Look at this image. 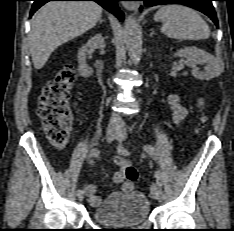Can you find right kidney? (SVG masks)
I'll list each match as a JSON object with an SVG mask.
<instances>
[{
  "instance_id": "obj_1",
  "label": "right kidney",
  "mask_w": 234,
  "mask_h": 231,
  "mask_svg": "<svg viewBox=\"0 0 234 231\" xmlns=\"http://www.w3.org/2000/svg\"><path fill=\"white\" fill-rule=\"evenodd\" d=\"M88 48H105V41L102 35L98 34L92 37L78 52L79 73L83 77H89L93 72L86 63Z\"/></svg>"
}]
</instances>
